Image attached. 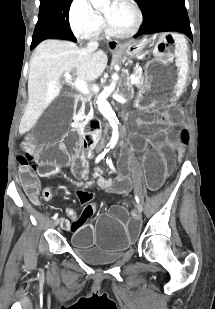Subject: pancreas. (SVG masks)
I'll list each match as a JSON object with an SVG mask.
<instances>
[{
  "instance_id": "pancreas-1",
  "label": "pancreas",
  "mask_w": 215,
  "mask_h": 309,
  "mask_svg": "<svg viewBox=\"0 0 215 309\" xmlns=\"http://www.w3.org/2000/svg\"><path fill=\"white\" fill-rule=\"evenodd\" d=\"M133 74H135L136 78H137V82H134L135 86H142L143 82H144V76L142 74V70H138V68H134L133 70ZM128 88L129 90H133V84H128ZM84 108V106H83ZM81 114H84V110H81ZM93 114V108L91 106L88 114H86L85 118H91Z\"/></svg>"
}]
</instances>
